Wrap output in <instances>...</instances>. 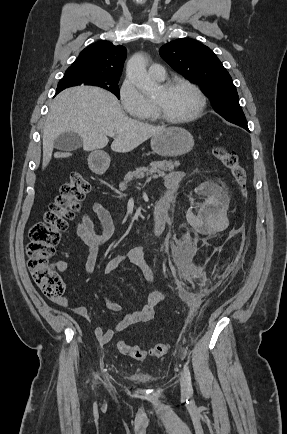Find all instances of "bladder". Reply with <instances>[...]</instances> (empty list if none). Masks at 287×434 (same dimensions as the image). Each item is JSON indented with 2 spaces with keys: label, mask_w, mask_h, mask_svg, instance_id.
<instances>
[{
  "label": "bladder",
  "mask_w": 287,
  "mask_h": 434,
  "mask_svg": "<svg viewBox=\"0 0 287 434\" xmlns=\"http://www.w3.org/2000/svg\"><path fill=\"white\" fill-rule=\"evenodd\" d=\"M128 378L140 385H147L154 381L152 376L141 372H133L128 376Z\"/></svg>",
  "instance_id": "31cf9c89"
}]
</instances>
